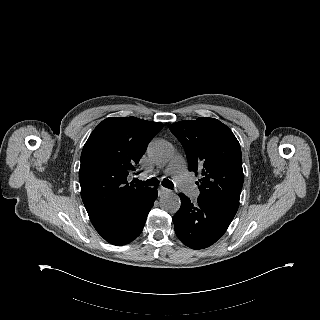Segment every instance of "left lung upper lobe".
<instances>
[{"instance_id": "5c2ea615", "label": "left lung upper lobe", "mask_w": 320, "mask_h": 320, "mask_svg": "<svg viewBox=\"0 0 320 320\" xmlns=\"http://www.w3.org/2000/svg\"><path fill=\"white\" fill-rule=\"evenodd\" d=\"M183 145L189 170L202 178L199 198L236 214L244 175L238 140L219 120L201 117L170 125Z\"/></svg>"}]
</instances>
